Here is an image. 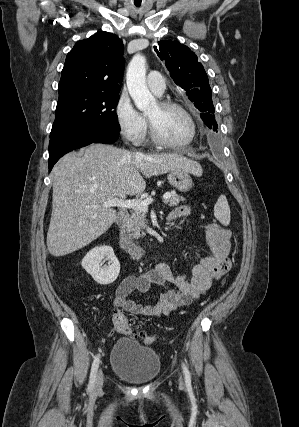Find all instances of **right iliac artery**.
<instances>
[{
    "label": "right iliac artery",
    "mask_w": 299,
    "mask_h": 427,
    "mask_svg": "<svg viewBox=\"0 0 299 427\" xmlns=\"http://www.w3.org/2000/svg\"><path fill=\"white\" fill-rule=\"evenodd\" d=\"M99 367V356H97L92 364L88 389L91 391L94 388L95 378Z\"/></svg>",
    "instance_id": "obj_1"
}]
</instances>
